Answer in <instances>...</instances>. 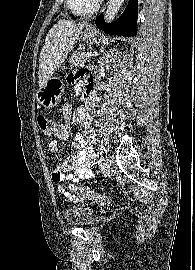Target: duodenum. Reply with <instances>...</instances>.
Here are the masks:
<instances>
[{"mask_svg": "<svg viewBox=\"0 0 195 270\" xmlns=\"http://www.w3.org/2000/svg\"><path fill=\"white\" fill-rule=\"evenodd\" d=\"M93 88H94V83L91 82L87 87H86V91L84 93V100L85 103L88 104L92 101L94 94H93Z\"/></svg>", "mask_w": 195, "mask_h": 270, "instance_id": "410a0bca", "label": "duodenum"}]
</instances>
